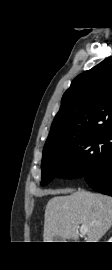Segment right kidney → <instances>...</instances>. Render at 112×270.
Wrapping results in <instances>:
<instances>
[{"label": "right kidney", "instance_id": "right-kidney-1", "mask_svg": "<svg viewBox=\"0 0 112 270\" xmlns=\"http://www.w3.org/2000/svg\"><path fill=\"white\" fill-rule=\"evenodd\" d=\"M108 242H112V237L108 240Z\"/></svg>", "mask_w": 112, "mask_h": 270}]
</instances>
